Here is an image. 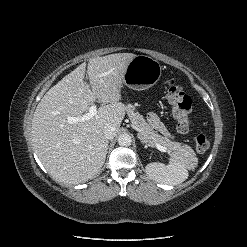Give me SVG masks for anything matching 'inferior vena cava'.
<instances>
[{
    "instance_id": "obj_1",
    "label": "inferior vena cava",
    "mask_w": 247,
    "mask_h": 247,
    "mask_svg": "<svg viewBox=\"0 0 247 247\" xmlns=\"http://www.w3.org/2000/svg\"><path fill=\"white\" fill-rule=\"evenodd\" d=\"M103 133L107 139H112L116 136V128L115 126L108 124L104 127Z\"/></svg>"
}]
</instances>
